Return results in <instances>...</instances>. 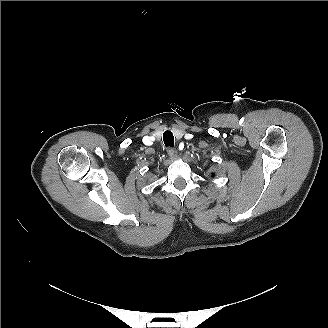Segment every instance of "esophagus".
I'll return each instance as SVG.
<instances>
[{"mask_svg":"<svg viewBox=\"0 0 328 328\" xmlns=\"http://www.w3.org/2000/svg\"><path fill=\"white\" fill-rule=\"evenodd\" d=\"M167 152H168V155H169L171 158H176L177 155H178L177 150L174 149V148H169V149L167 150Z\"/></svg>","mask_w":328,"mask_h":328,"instance_id":"34e87169","label":"esophagus"}]
</instances>
